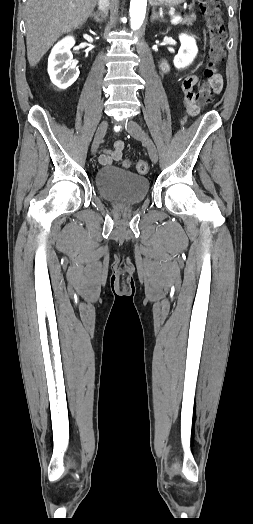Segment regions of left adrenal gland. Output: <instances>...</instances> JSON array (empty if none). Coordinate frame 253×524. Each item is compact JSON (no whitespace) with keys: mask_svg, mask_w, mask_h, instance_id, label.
Listing matches in <instances>:
<instances>
[{"mask_svg":"<svg viewBox=\"0 0 253 524\" xmlns=\"http://www.w3.org/2000/svg\"><path fill=\"white\" fill-rule=\"evenodd\" d=\"M151 22L155 21V20H160V16L158 15V13L156 12L155 9L152 10V15H151Z\"/></svg>","mask_w":253,"mask_h":524,"instance_id":"1","label":"left adrenal gland"}]
</instances>
